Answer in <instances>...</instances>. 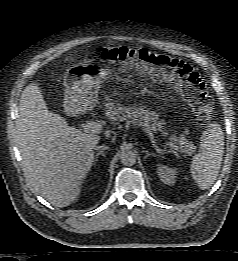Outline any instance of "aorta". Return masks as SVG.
Returning <instances> with one entry per match:
<instances>
[{
	"label": "aorta",
	"instance_id": "obj_1",
	"mask_svg": "<svg viewBox=\"0 0 238 261\" xmlns=\"http://www.w3.org/2000/svg\"><path fill=\"white\" fill-rule=\"evenodd\" d=\"M120 159L124 166H133L136 163V154L129 150L122 151Z\"/></svg>",
	"mask_w": 238,
	"mask_h": 261
}]
</instances>
